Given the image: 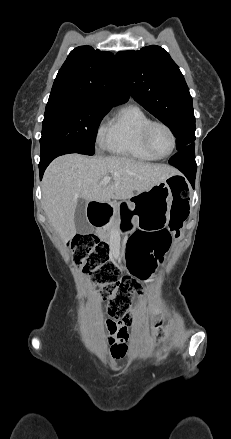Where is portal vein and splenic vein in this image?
Segmentation results:
<instances>
[{
    "mask_svg": "<svg viewBox=\"0 0 231 439\" xmlns=\"http://www.w3.org/2000/svg\"><path fill=\"white\" fill-rule=\"evenodd\" d=\"M115 175H117V174H115ZM110 180H111V178L109 176H106L100 181V184L107 185L108 183H110Z\"/></svg>",
    "mask_w": 231,
    "mask_h": 439,
    "instance_id": "portal-vein-and-splenic-vein-1",
    "label": "portal vein and splenic vein"
}]
</instances>
